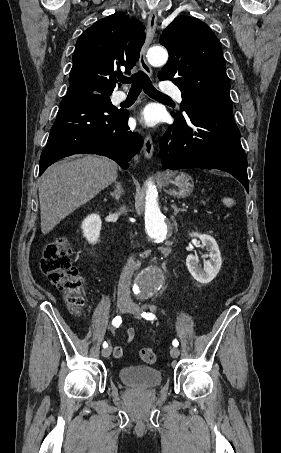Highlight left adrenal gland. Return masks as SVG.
<instances>
[{
  "mask_svg": "<svg viewBox=\"0 0 281 453\" xmlns=\"http://www.w3.org/2000/svg\"><path fill=\"white\" fill-rule=\"evenodd\" d=\"M172 208H174V214H178L179 210H182V208H177L176 204H172Z\"/></svg>",
  "mask_w": 281,
  "mask_h": 453,
  "instance_id": "a2214340",
  "label": "left adrenal gland"
}]
</instances>
